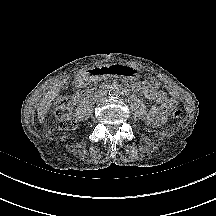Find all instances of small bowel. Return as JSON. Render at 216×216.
<instances>
[{
  "label": "small bowel",
  "instance_id": "small-bowel-1",
  "mask_svg": "<svg viewBox=\"0 0 216 216\" xmlns=\"http://www.w3.org/2000/svg\"><path fill=\"white\" fill-rule=\"evenodd\" d=\"M159 82L155 78H149L135 83L134 88L140 91L146 98L156 103L146 117V122L150 126L162 124L167 115L175 108V100L166 93L159 90Z\"/></svg>",
  "mask_w": 216,
  "mask_h": 216
}]
</instances>
